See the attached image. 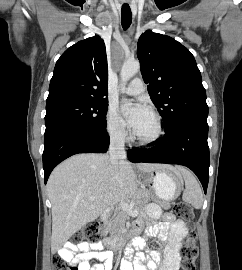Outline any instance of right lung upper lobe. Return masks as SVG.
<instances>
[{
  "label": "right lung upper lobe",
  "mask_w": 242,
  "mask_h": 270,
  "mask_svg": "<svg viewBox=\"0 0 242 270\" xmlns=\"http://www.w3.org/2000/svg\"><path fill=\"white\" fill-rule=\"evenodd\" d=\"M106 48L99 36L79 41L57 60L46 105L67 100H107Z\"/></svg>",
  "instance_id": "1"
}]
</instances>
